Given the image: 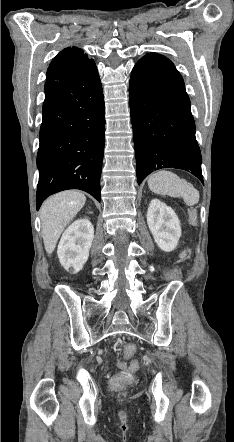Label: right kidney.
I'll use <instances>...</instances> for the list:
<instances>
[{"mask_svg":"<svg viewBox=\"0 0 234 442\" xmlns=\"http://www.w3.org/2000/svg\"><path fill=\"white\" fill-rule=\"evenodd\" d=\"M94 238V227L86 218L74 221L63 233L57 254L61 265L78 273L87 262Z\"/></svg>","mask_w":234,"mask_h":442,"instance_id":"obj_1","label":"right kidney"}]
</instances>
